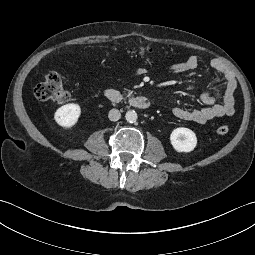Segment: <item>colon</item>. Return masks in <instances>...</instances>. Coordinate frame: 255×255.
Segmentation results:
<instances>
[{"label": "colon", "mask_w": 255, "mask_h": 255, "mask_svg": "<svg viewBox=\"0 0 255 255\" xmlns=\"http://www.w3.org/2000/svg\"><path fill=\"white\" fill-rule=\"evenodd\" d=\"M138 52L143 55L150 54L149 47H140ZM34 94L37 99L42 101H51L54 103H65L69 99V93L64 88L61 76L57 73H48L43 81L36 85ZM229 127L221 125L217 129L219 135H226Z\"/></svg>", "instance_id": "5ec220e1"}]
</instances>
